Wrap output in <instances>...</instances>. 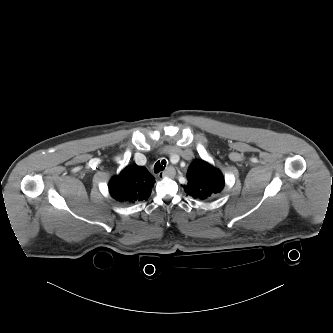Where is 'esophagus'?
<instances>
[{"label":"esophagus","mask_w":333,"mask_h":333,"mask_svg":"<svg viewBox=\"0 0 333 333\" xmlns=\"http://www.w3.org/2000/svg\"><path fill=\"white\" fill-rule=\"evenodd\" d=\"M175 175H176V171H175L174 167L169 166L165 171L160 172L158 174V177L159 178H165V177L174 178Z\"/></svg>","instance_id":"1"}]
</instances>
